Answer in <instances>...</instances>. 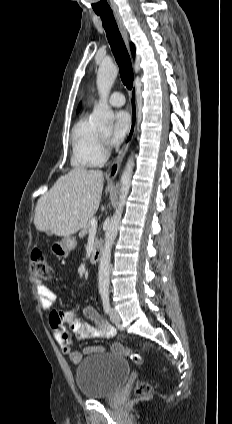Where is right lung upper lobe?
Instances as JSON below:
<instances>
[{
  "mask_svg": "<svg viewBox=\"0 0 232 424\" xmlns=\"http://www.w3.org/2000/svg\"><path fill=\"white\" fill-rule=\"evenodd\" d=\"M130 47H131L132 54H133V56H134V54H135V47H134V45H133V44H131V45H130ZM80 108H81V103H80V104H79V106H78L77 112L80 110Z\"/></svg>",
  "mask_w": 232,
  "mask_h": 424,
  "instance_id": "1",
  "label": "right lung upper lobe"
}]
</instances>
